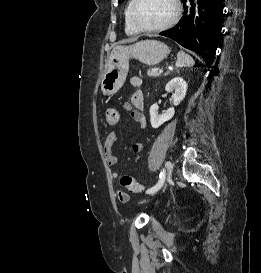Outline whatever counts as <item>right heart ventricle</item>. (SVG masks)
<instances>
[{
    "mask_svg": "<svg viewBox=\"0 0 261 273\" xmlns=\"http://www.w3.org/2000/svg\"><path fill=\"white\" fill-rule=\"evenodd\" d=\"M131 2H132V0L129 1V3L126 7V11H125V31L129 35H134V34H137L138 32L130 24L129 17H128Z\"/></svg>",
    "mask_w": 261,
    "mask_h": 273,
    "instance_id": "e07e8e85",
    "label": "right heart ventricle"
}]
</instances>
